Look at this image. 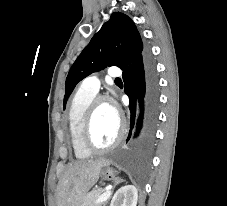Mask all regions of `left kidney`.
Returning a JSON list of instances; mask_svg holds the SVG:
<instances>
[{
  "instance_id": "obj_1",
  "label": "left kidney",
  "mask_w": 227,
  "mask_h": 206,
  "mask_svg": "<svg viewBox=\"0 0 227 206\" xmlns=\"http://www.w3.org/2000/svg\"><path fill=\"white\" fill-rule=\"evenodd\" d=\"M138 191L134 185H125L114 194L110 206H136Z\"/></svg>"
}]
</instances>
